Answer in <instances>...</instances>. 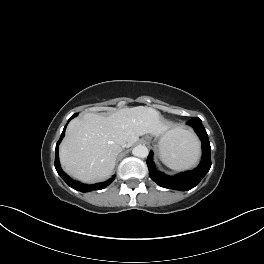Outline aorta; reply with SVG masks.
<instances>
[{
	"label": "aorta",
	"mask_w": 264,
	"mask_h": 264,
	"mask_svg": "<svg viewBox=\"0 0 264 264\" xmlns=\"http://www.w3.org/2000/svg\"><path fill=\"white\" fill-rule=\"evenodd\" d=\"M132 154L136 157H139V158H145L148 156L149 151H148V148L146 146L138 145V146L133 148Z\"/></svg>",
	"instance_id": "1"
}]
</instances>
